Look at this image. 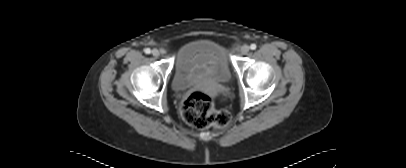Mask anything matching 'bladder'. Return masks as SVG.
Wrapping results in <instances>:
<instances>
[{"label": "bladder", "instance_id": "bladder-1", "mask_svg": "<svg viewBox=\"0 0 406 168\" xmlns=\"http://www.w3.org/2000/svg\"><path fill=\"white\" fill-rule=\"evenodd\" d=\"M197 58H203V65L197 64ZM207 77L219 82L229 80L230 71L222 48L209 39H196L186 43L177 55L173 89L183 91Z\"/></svg>", "mask_w": 406, "mask_h": 168}]
</instances>
